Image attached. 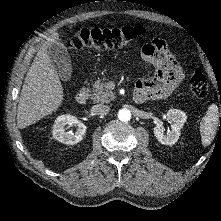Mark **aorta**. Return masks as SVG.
<instances>
[{
	"label": "aorta",
	"mask_w": 221,
	"mask_h": 221,
	"mask_svg": "<svg viewBox=\"0 0 221 221\" xmlns=\"http://www.w3.org/2000/svg\"><path fill=\"white\" fill-rule=\"evenodd\" d=\"M118 118L120 121L127 122L131 119V113L127 109H121L118 112Z\"/></svg>",
	"instance_id": "762f6f07"
}]
</instances>
